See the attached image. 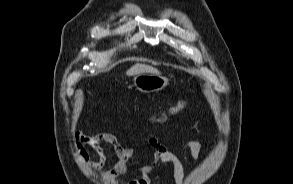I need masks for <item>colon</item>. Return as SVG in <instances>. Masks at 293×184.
I'll use <instances>...</instances> for the list:
<instances>
[{"instance_id":"5ec220e1","label":"colon","mask_w":293,"mask_h":184,"mask_svg":"<svg viewBox=\"0 0 293 184\" xmlns=\"http://www.w3.org/2000/svg\"><path fill=\"white\" fill-rule=\"evenodd\" d=\"M185 105H186V102L184 100L179 101L177 104H175L173 107H171L168 112L162 113L158 116L149 117L148 119L153 124L154 123H157V124L165 123L170 116L176 115L180 111H182V109L185 107Z\"/></svg>"}]
</instances>
